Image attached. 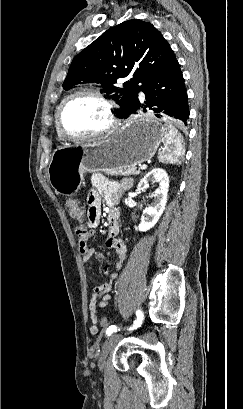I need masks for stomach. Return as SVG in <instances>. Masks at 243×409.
<instances>
[{"mask_svg":"<svg viewBox=\"0 0 243 409\" xmlns=\"http://www.w3.org/2000/svg\"><path fill=\"white\" fill-rule=\"evenodd\" d=\"M164 137V126L152 116H134L109 137L54 150L48 179L57 194L77 192L87 172L135 167L151 159Z\"/></svg>","mask_w":243,"mask_h":409,"instance_id":"0dacf381","label":"stomach"}]
</instances>
